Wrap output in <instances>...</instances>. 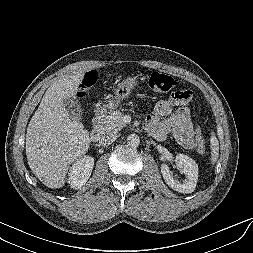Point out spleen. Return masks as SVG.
Segmentation results:
<instances>
[{
  "instance_id": "3e777b00",
  "label": "spleen",
  "mask_w": 253,
  "mask_h": 253,
  "mask_svg": "<svg viewBox=\"0 0 253 253\" xmlns=\"http://www.w3.org/2000/svg\"><path fill=\"white\" fill-rule=\"evenodd\" d=\"M210 146H211L210 161H211V164L214 165L219 156V142L213 133L210 139Z\"/></svg>"
}]
</instances>
